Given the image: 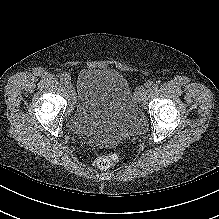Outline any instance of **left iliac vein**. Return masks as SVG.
Returning <instances> with one entry per match:
<instances>
[{"label":"left iliac vein","mask_w":219,"mask_h":219,"mask_svg":"<svg viewBox=\"0 0 219 219\" xmlns=\"http://www.w3.org/2000/svg\"><path fill=\"white\" fill-rule=\"evenodd\" d=\"M149 96H150V91L146 90L143 87H139L136 90V99L143 104L147 102Z\"/></svg>","instance_id":"4c4485c4"}]
</instances>
